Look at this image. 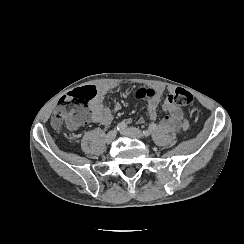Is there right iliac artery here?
<instances>
[{
	"instance_id": "1",
	"label": "right iliac artery",
	"mask_w": 244,
	"mask_h": 244,
	"mask_svg": "<svg viewBox=\"0 0 244 244\" xmlns=\"http://www.w3.org/2000/svg\"><path fill=\"white\" fill-rule=\"evenodd\" d=\"M126 127H127V124H126L124 121H122V122H120V123L117 124V126H116V130H117V131H122V130H124Z\"/></svg>"
}]
</instances>
